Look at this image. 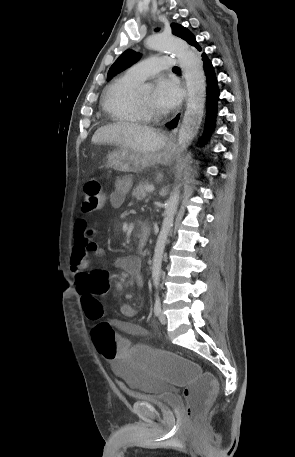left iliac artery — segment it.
Masks as SVG:
<instances>
[{"label":"left iliac artery","mask_w":295,"mask_h":457,"mask_svg":"<svg viewBox=\"0 0 295 457\" xmlns=\"http://www.w3.org/2000/svg\"><path fill=\"white\" fill-rule=\"evenodd\" d=\"M161 312V302H160V297L156 295L155 298V304H154V313L156 316H158Z\"/></svg>","instance_id":"1"}]
</instances>
